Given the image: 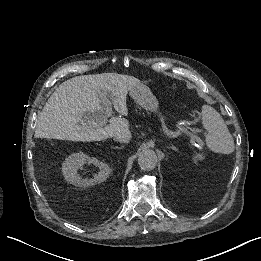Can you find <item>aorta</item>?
Masks as SVG:
<instances>
[{"label":"aorta","mask_w":261,"mask_h":261,"mask_svg":"<svg viewBox=\"0 0 261 261\" xmlns=\"http://www.w3.org/2000/svg\"><path fill=\"white\" fill-rule=\"evenodd\" d=\"M138 164L142 170H153L157 165V156L153 150L145 149L138 156Z\"/></svg>","instance_id":"obj_1"}]
</instances>
